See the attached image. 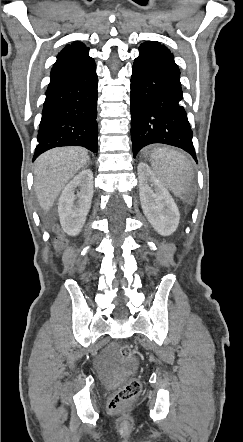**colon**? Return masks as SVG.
Returning <instances> with one entry per match:
<instances>
[{"mask_svg": "<svg viewBox=\"0 0 243 442\" xmlns=\"http://www.w3.org/2000/svg\"><path fill=\"white\" fill-rule=\"evenodd\" d=\"M61 244L62 241H57L58 246H60ZM118 355L120 360L122 361L129 360L133 355L132 348L129 345L124 344L120 347ZM140 390V381L137 378H130L124 386L118 388L110 397L108 402L109 411H118L125 404L135 399Z\"/></svg>", "mask_w": 243, "mask_h": 442, "instance_id": "1", "label": "colon"}]
</instances>
